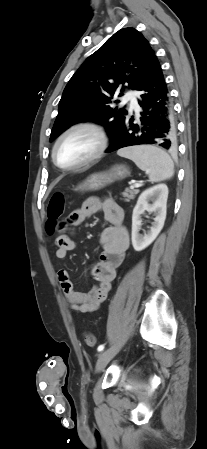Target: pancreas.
Here are the masks:
<instances>
[{"mask_svg": "<svg viewBox=\"0 0 207 449\" xmlns=\"http://www.w3.org/2000/svg\"><path fill=\"white\" fill-rule=\"evenodd\" d=\"M138 193L139 190L126 189L124 192H122V196L125 197L126 202H129L130 199H134Z\"/></svg>", "mask_w": 207, "mask_h": 449, "instance_id": "obj_1", "label": "pancreas"}]
</instances>
